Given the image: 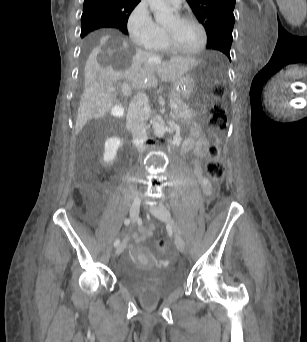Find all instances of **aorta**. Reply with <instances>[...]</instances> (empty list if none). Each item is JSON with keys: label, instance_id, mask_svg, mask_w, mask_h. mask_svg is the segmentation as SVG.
<instances>
[{"label": "aorta", "instance_id": "1", "mask_svg": "<svg viewBox=\"0 0 307 342\" xmlns=\"http://www.w3.org/2000/svg\"><path fill=\"white\" fill-rule=\"evenodd\" d=\"M147 2L151 12H153L155 22H158V24L165 26V24H171V22L176 20V16L173 14L174 10H172L166 0H147ZM152 128L155 136H159V138H163L167 130V126H165L161 116H156L155 120H153Z\"/></svg>", "mask_w": 307, "mask_h": 342}]
</instances>
